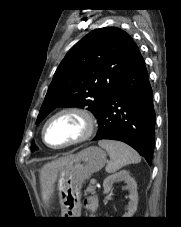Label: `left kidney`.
<instances>
[{
  "mask_svg": "<svg viewBox=\"0 0 181 227\" xmlns=\"http://www.w3.org/2000/svg\"><path fill=\"white\" fill-rule=\"evenodd\" d=\"M118 180H123L127 184L130 193L129 194L130 201L127 206L128 211L127 213H125L123 217H132L137 210L138 192L136 181L134 180V178L130 176V173L127 170H121L120 172L108 176L103 182L104 192L105 193L110 192L113 183Z\"/></svg>",
  "mask_w": 181,
  "mask_h": 227,
  "instance_id": "obj_1",
  "label": "left kidney"
}]
</instances>
